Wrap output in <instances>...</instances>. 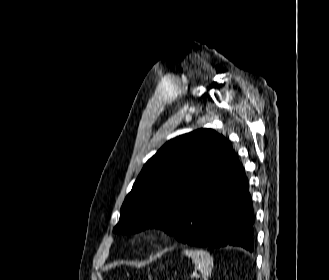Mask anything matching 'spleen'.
<instances>
[{
	"label": "spleen",
	"instance_id": "spleen-1",
	"mask_svg": "<svg viewBox=\"0 0 329 280\" xmlns=\"http://www.w3.org/2000/svg\"><path fill=\"white\" fill-rule=\"evenodd\" d=\"M188 258H191L195 269L201 272L204 280H208L212 273L213 258L210 254L203 250L187 249L183 252Z\"/></svg>",
	"mask_w": 329,
	"mask_h": 280
}]
</instances>
